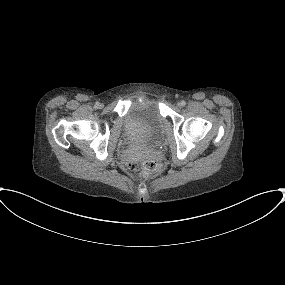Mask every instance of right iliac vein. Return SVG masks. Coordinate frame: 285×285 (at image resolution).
<instances>
[{
	"label": "right iliac vein",
	"mask_w": 285,
	"mask_h": 285,
	"mask_svg": "<svg viewBox=\"0 0 285 285\" xmlns=\"http://www.w3.org/2000/svg\"><path fill=\"white\" fill-rule=\"evenodd\" d=\"M103 105L101 103L98 104L97 108H100L102 107Z\"/></svg>",
	"instance_id": "obj_1"
}]
</instances>
